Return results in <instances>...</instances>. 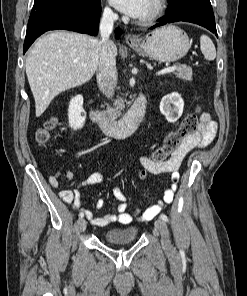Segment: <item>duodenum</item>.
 I'll return each instance as SVG.
<instances>
[{"mask_svg": "<svg viewBox=\"0 0 247 296\" xmlns=\"http://www.w3.org/2000/svg\"><path fill=\"white\" fill-rule=\"evenodd\" d=\"M147 102V97L140 95L130 112L120 119L111 118L96 108H91L89 114L92 120L98 123L107 134L116 138H125L131 136L140 128L145 116Z\"/></svg>", "mask_w": 247, "mask_h": 296, "instance_id": "duodenum-1", "label": "duodenum"}]
</instances>
